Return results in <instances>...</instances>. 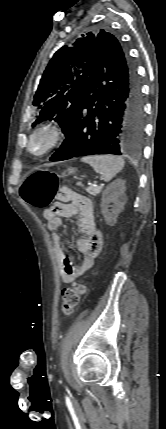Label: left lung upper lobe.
<instances>
[{"instance_id": "left-lung-upper-lobe-1", "label": "left lung upper lobe", "mask_w": 166, "mask_h": 429, "mask_svg": "<svg viewBox=\"0 0 166 429\" xmlns=\"http://www.w3.org/2000/svg\"><path fill=\"white\" fill-rule=\"evenodd\" d=\"M100 33L110 34L104 30L86 33L70 47L63 46L54 54L34 96L33 105L40 111L33 126L45 120H55L66 134L89 79Z\"/></svg>"}]
</instances>
